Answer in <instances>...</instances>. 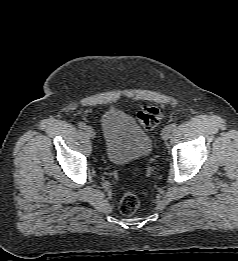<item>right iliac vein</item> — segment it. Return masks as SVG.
Masks as SVG:
<instances>
[{
  "label": "right iliac vein",
  "instance_id": "63e3f726",
  "mask_svg": "<svg viewBox=\"0 0 238 261\" xmlns=\"http://www.w3.org/2000/svg\"><path fill=\"white\" fill-rule=\"evenodd\" d=\"M85 132H86V135H87L89 138L93 139V138L95 137V131H94V129H93L92 127L86 126Z\"/></svg>",
  "mask_w": 238,
  "mask_h": 261
}]
</instances>
